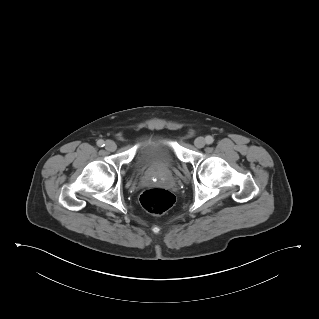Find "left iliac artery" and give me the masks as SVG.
I'll return each instance as SVG.
<instances>
[{"mask_svg": "<svg viewBox=\"0 0 319 319\" xmlns=\"http://www.w3.org/2000/svg\"><path fill=\"white\" fill-rule=\"evenodd\" d=\"M205 140H206V143H207V144H212L213 141H214V139H213L212 136H207V137L205 138Z\"/></svg>", "mask_w": 319, "mask_h": 319, "instance_id": "1", "label": "left iliac artery"}]
</instances>
